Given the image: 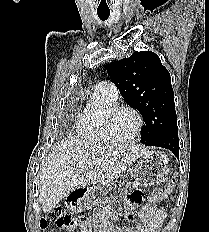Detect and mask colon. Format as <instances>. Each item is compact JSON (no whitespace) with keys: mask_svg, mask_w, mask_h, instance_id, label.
Wrapping results in <instances>:
<instances>
[{"mask_svg":"<svg viewBox=\"0 0 209 232\" xmlns=\"http://www.w3.org/2000/svg\"><path fill=\"white\" fill-rule=\"evenodd\" d=\"M163 195L164 193L154 195V199L162 197ZM48 222L53 223L57 228L65 230L66 232H78V228L82 221H76V218L67 214L63 208L56 207L50 211L48 218H43L41 220V227H47Z\"/></svg>","mask_w":209,"mask_h":232,"instance_id":"1","label":"colon"}]
</instances>
